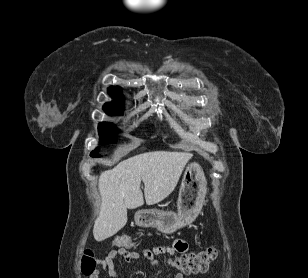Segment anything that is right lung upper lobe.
I'll return each instance as SVG.
<instances>
[{
	"label": "right lung upper lobe",
	"instance_id": "right-lung-upper-lobe-1",
	"mask_svg": "<svg viewBox=\"0 0 308 278\" xmlns=\"http://www.w3.org/2000/svg\"><path fill=\"white\" fill-rule=\"evenodd\" d=\"M108 92L112 97L116 99H124L119 87H110ZM103 110L109 115H120L122 114L123 106L119 102L106 103L103 106Z\"/></svg>",
	"mask_w": 308,
	"mask_h": 278
}]
</instances>
